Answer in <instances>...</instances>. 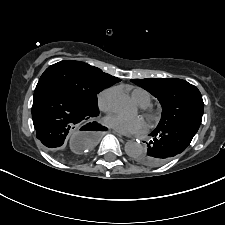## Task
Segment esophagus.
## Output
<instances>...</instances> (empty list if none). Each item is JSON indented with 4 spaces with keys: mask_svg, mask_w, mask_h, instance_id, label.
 Segmentation results:
<instances>
[{
    "mask_svg": "<svg viewBox=\"0 0 225 225\" xmlns=\"http://www.w3.org/2000/svg\"><path fill=\"white\" fill-rule=\"evenodd\" d=\"M118 136L122 137L123 135L119 133L118 131H114Z\"/></svg>",
    "mask_w": 225,
    "mask_h": 225,
    "instance_id": "34e87169",
    "label": "esophagus"
}]
</instances>
